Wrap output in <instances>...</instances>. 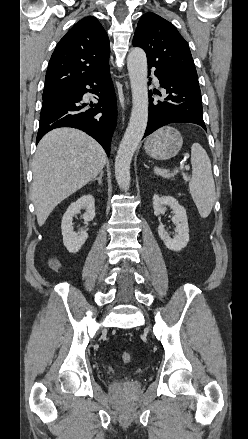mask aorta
<instances>
[{
	"label": "aorta",
	"mask_w": 248,
	"mask_h": 439,
	"mask_svg": "<svg viewBox=\"0 0 248 439\" xmlns=\"http://www.w3.org/2000/svg\"><path fill=\"white\" fill-rule=\"evenodd\" d=\"M127 68L132 91V111L128 127L115 158V178L119 187L130 186V164L144 135L148 121L147 58L141 48H133L127 57Z\"/></svg>",
	"instance_id": "aorta-1"
}]
</instances>
